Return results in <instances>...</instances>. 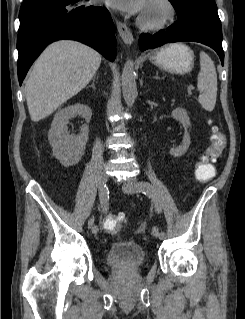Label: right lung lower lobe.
<instances>
[{
  "mask_svg": "<svg viewBox=\"0 0 245 319\" xmlns=\"http://www.w3.org/2000/svg\"><path fill=\"white\" fill-rule=\"evenodd\" d=\"M19 19L20 84L42 50L59 39L80 41L110 61L115 59L114 24L105 7L89 5L86 0H28L20 8Z\"/></svg>",
  "mask_w": 245,
  "mask_h": 319,
  "instance_id": "obj_1",
  "label": "right lung lower lobe"
}]
</instances>
